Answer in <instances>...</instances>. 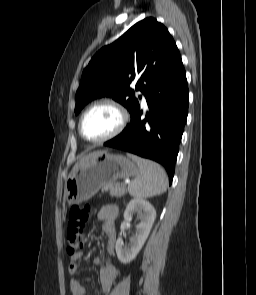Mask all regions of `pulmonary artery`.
<instances>
[{
  "label": "pulmonary artery",
  "mask_w": 256,
  "mask_h": 295,
  "mask_svg": "<svg viewBox=\"0 0 256 295\" xmlns=\"http://www.w3.org/2000/svg\"><path fill=\"white\" fill-rule=\"evenodd\" d=\"M139 94L141 95L142 103H143V104H146V98H145V95L143 94V92L140 91Z\"/></svg>",
  "instance_id": "1"
}]
</instances>
